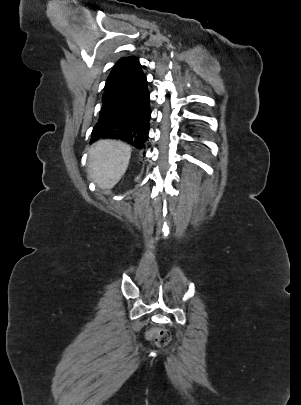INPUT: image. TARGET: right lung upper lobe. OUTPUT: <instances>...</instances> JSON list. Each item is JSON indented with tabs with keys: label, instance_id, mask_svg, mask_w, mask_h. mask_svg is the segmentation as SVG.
<instances>
[{
	"label": "right lung upper lobe",
	"instance_id": "obj_1",
	"mask_svg": "<svg viewBox=\"0 0 301 405\" xmlns=\"http://www.w3.org/2000/svg\"><path fill=\"white\" fill-rule=\"evenodd\" d=\"M137 58L135 57H124L121 58L117 64L114 66L113 70L111 71L106 84L105 88L113 83L118 77L127 69V67Z\"/></svg>",
	"mask_w": 301,
	"mask_h": 405
}]
</instances>
